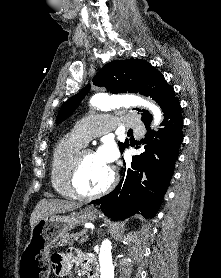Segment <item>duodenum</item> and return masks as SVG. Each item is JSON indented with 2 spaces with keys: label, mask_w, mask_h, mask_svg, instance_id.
Segmentation results:
<instances>
[{
  "label": "duodenum",
  "mask_w": 221,
  "mask_h": 278,
  "mask_svg": "<svg viewBox=\"0 0 221 278\" xmlns=\"http://www.w3.org/2000/svg\"><path fill=\"white\" fill-rule=\"evenodd\" d=\"M87 278H99L97 264L94 260H88L84 268Z\"/></svg>",
  "instance_id": "1"
}]
</instances>
